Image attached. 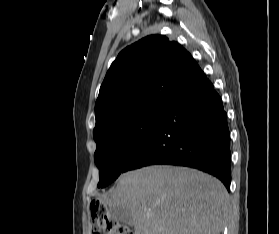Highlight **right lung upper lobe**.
<instances>
[{"instance_id":"cb5924a9","label":"right lung upper lobe","mask_w":279,"mask_h":234,"mask_svg":"<svg viewBox=\"0 0 279 234\" xmlns=\"http://www.w3.org/2000/svg\"><path fill=\"white\" fill-rule=\"evenodd\" d=\"M202 72L191 54L164 35H149L111 64L95 104V136L109 120L150 106L166 107Z\"/></svg>"}]
</instances>
